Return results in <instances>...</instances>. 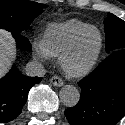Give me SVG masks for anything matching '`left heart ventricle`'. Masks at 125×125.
Returning a JSON list of instances; mask_svg holds the SVG:
<instances>
[{
	"label": "left heart ventricle",
	"mask_w": 125,
	"mask_h": 125,
	"mask_svg": "<svg viewBox=\"0 0 125 125\" xmlns=\"http://www.w3.org/2000/svg\"><path fill=\"white\" fill-rule=\"evenodd\" d=\"M98 45L99 35L95 30L84 32L68 56V64L73 68L85 66L95 54Z\"/></svg>",
	"instance_id": "left-heart-ventricle-1"
}]
</instances>
